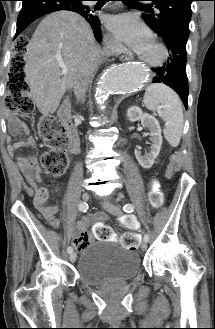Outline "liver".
Wrapping results in <instances>:
<instances>
[{"label":"liver","instance_id":"6515ba94","mask_svg":"<svg viewBox=\"0 0 215 329\" xmlns=\"http://www.w3.org/2000/svg\"><path fill=\"white\" fill-rule=\"evenodd\" d=\"M99 48L90 25L77 13L59 11L36 28L25 55L30 94L40 113H54L67 89L73 87L79 66L91 49ZM61 65L68 69L61 74Z\"/></svg>","mask_w":215,"mask_h":329}]
</instances>
